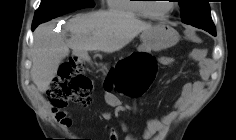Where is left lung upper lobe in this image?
Listing matches in <instances>:
<instances>
[{
    "mask_svg": "<svg viewBox=\"0 0 236 140\" xmlns=\"http://www.w3.org/2000/svg\"><path fill=\"white\" fill-rule=\"evenodd\" d=\"M178 2L181 8L182 22L203 29L216 36L208 0H178Z\"/></svg>",
    "mask_w": 236,
    "mask_h": 140,
    "instance_id": "5c2ea615",
    "label": "left lung upper lobe"
}]
</instances>
